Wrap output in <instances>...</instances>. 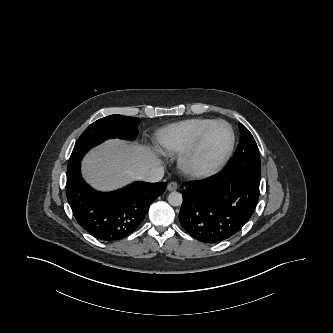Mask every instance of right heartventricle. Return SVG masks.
Segmentation results:
<instances>
[{
    "label": "right heart ventricle",
    "mask_w": 333,
    "mask_h": 333,
    "mask_svg": "<svg viewBox=\"0 0 333 333\" xmlns=\"http://www.w3.org/2000/svg\"><path fill=\"white\" fill-rule=\"evenodd\" d=\"M212 121L214 120L210 118L197 117L170 124L159 130L158 145L167 153L184 152Z\"/></svg>",
    "instance_id": "e07e8e85"
}]
</instances>
